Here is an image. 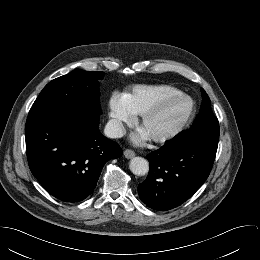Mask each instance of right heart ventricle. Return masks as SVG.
Instances as JSON below:
<instances>
[{
	"mask_svg": "<svg viewBox=\"0 0 260 260\" xmlns=\"http://www.w3.org/2000/svg\"><path fill=\"white\" fill-rule=\"evenodd\" d=\"M178 92L179 89L166 84L137 85L125 94V98L133 114H142L160 99Z\"/></svg>",
	"mask_w": 260,
	"mask_h": 260,
	"instance_id": "e07e8e85",
	"label": "right heart ventricle"
}]
</instances>
